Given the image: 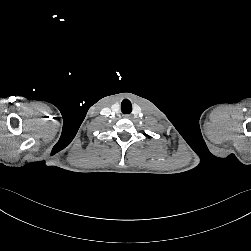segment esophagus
<instances>
[{"mask_svg":"<svg viewBox=\"0 0 251 251\" xmlns=\"http://www.w3.org/2000/svg\"><path fill=\"white\" fill-rule=\"evenodd\" d=\"M125 118H130L131 116L130 115H124Z\"/></svg>","mask_w":251,"mask_h":251,"instance_id":"34e87169","label":"esophagus"}]
</instances>
